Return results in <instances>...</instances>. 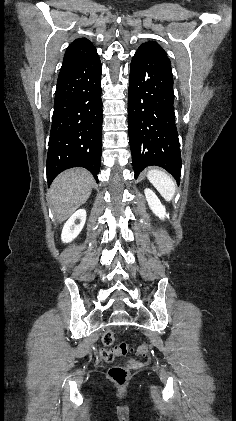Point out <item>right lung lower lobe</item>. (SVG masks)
<instances>
[{
  "mask_svg": "<svg viewBox=\"0 0 236 421\" xmlns=\"http://www.w3.org/2000/svg\"><path fill=\"white\" fill-rule=\"evenodd\" d=\"M99 56L61 68L46 162L48 184L72 167L88 169L98 182L102 154Z\"/></svg>",
  "mask_w": 236,
  "mask_h": 421,
  "instance_id": "obj_1",
  "label": "right lung lower lobe"
}]
</instances>
